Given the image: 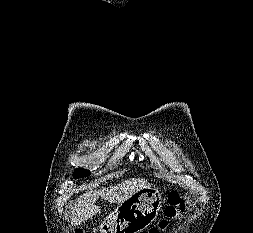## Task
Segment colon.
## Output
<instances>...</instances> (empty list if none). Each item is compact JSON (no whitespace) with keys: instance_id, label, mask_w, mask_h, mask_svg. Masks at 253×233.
<instances>
[{"instance_id":"colon-1","label":"colon","mask_w":253,"mask_h":233,"mask_svg":"<svg viewBox=\"0 0 253 233\" xmlns=\"http://www.w3.org/2000/svg\"><path fill=\"white\" fill-rule=\"evenodd\" d=\"M185 210V202L177 191L170 192L168 196V205L165 209V217L160 221L158 226L152 227L144 233H161L170 223L172 219L179 216ZM76 233H83L80 228H77Z\"/></svg>"}]
</instances>
